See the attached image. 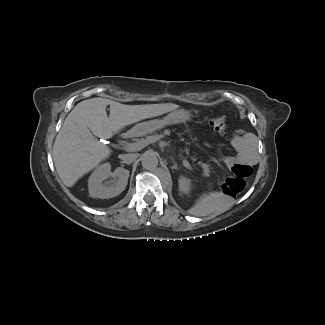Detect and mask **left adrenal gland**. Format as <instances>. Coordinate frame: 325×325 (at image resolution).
I'll return each mask as SVG.
<instances>
[{
	"label": "left adrenal gland",
	"instance_id": "a2214340",
	"mask_svg": "<svg viewBox=\"0 0 325 325\" xmlns=\"http://www.w3.org/2000/svg\"><path fill=\"white\" fill-rule=\"evenodd\" d=\"M174 165L172 166V169H178L177 163L174 161V159H172Z\"/></svg>",
	"mask_w": 325,
	"mask_h": 325
}]
</instances>
